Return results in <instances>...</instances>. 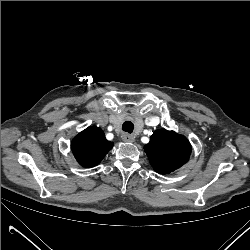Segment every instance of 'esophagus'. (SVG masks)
<instances>
[{
    "mask_svg": "<svg viewBox=\"0 0 250 250\" xmlns=\"http://www.w3.org/2000/svg\"><path fill=\"white\" fill-rule=\"evenodd\" d=\"M122 140L124 142L132 143V142L135 141V137L133 135H131V134L124 133L122 135Z\"/></svg>",
    "mask_w": 250,
    "mask_h": 250,
    "instance_id": "obj_1",
    "label": "esophagus"
}]
</instances>
